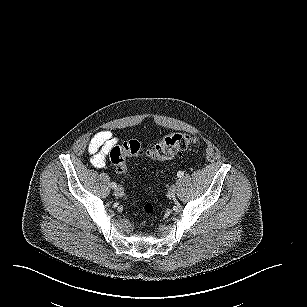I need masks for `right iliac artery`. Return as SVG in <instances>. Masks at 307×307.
Instances as JSON below:
<instances>
[{
  "label": "right iliac artery",
  "instance_id": "right-iliac-artery-1",
  "mask_svg": "<svg viewBox=\"0 0 307 307\" xmlns=\"http://www.w3.org/2000/svg\"><path fill=\"white\" fill-rule=\"evenodd\" d=\"M111 187H112V188H116V187H117V184H116L115 182H112V183H111Z\"/></svg>",
  "mask_w": 307,
  "mask_h": 307
}]
</instances>
